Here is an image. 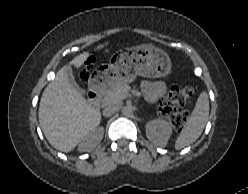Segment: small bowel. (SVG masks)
Instances as JSON below:
<instances>
[{
  "label": "small bowel",
  "mask_w": 248,
  "mask_h": 194,
  "mask_svg": "<svg viewBox=\"0 0 248 194\" xmlns=\"http://www.w3.org/2000/svg\"><path fill=\"white\" fill-rule=\"evenodd\" d=\"M142 90L149 101L157 102L165 95L166 86L160 81H145Z\"/></svg>",
  "instance_id": "1"
}]
</instances>
